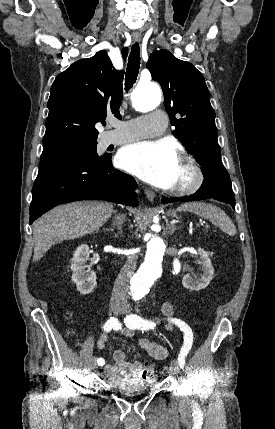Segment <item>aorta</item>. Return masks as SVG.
<instances>
[{"label":"aorta","mask_w":275,"mask_h":429,"mask_svg":"<svg viewBox=\"0 0 275 429\" xmlns=\"http://www.w3.org/2000/svg\"><path fill=\"white\" fill-rule=\"evenodd\" d=\"M160 101L161 90L152 82L139 84L132 95L133 106L140 112L155 109ZM147 237L149 240L144 262L134 274L131 282L132 294L135 298L143 297L162 272L161 266L166 247L164 240L152 233H149Z\"/></svg>","instance_id":"762f6f07"}]
</instances>
